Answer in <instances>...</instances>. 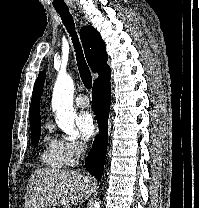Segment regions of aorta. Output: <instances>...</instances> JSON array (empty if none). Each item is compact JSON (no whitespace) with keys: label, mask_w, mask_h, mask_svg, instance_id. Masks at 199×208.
<instances>
[{"label":"aorta","mask_w":199,"mask_h":208,"mask_svg":"<svg viewBox=\"0 0 199 208\" xmlns=\"http://www.w3.org/2000/svg\"><path fill=\"white\" fill-rule=\"evenodd\" d=\"M74 82L68 75L58 76L53 90L52 108L57 115V125L69 134L76 135L74 130V119L76 113L73 108ZM94 208H100L101 202L95 201Z\"/></svg>","instance_id":"762f6f07"}]
</instances>
